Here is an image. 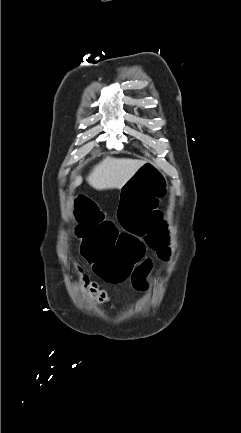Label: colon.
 Segmentation results:
<instances>
[{
    "instance_id": "5ec220e1",
    "label": "colon",
    "mask_w": 241,
    "mask_h": 433,
    "mask_svg": "<svg viewBox=\"0 0 241 433\" xmlns=\"http://www.w3.org/2000/svg\"><path fill=\"white\" fill-rule=\"evenodd\" d=\"M155 165L154 159L137 165L136 172L121 187L117 208L123 230H118L112 220H106V213L99 212V205L85 192L73 195L77 201L73 218L81 221L75 227L80 254L90 269L109 283H121L130 276L138 281V277L149 275L152 262L145 256V244L157 252L160 260L167 261L170 257L171 236L165 237L161 226H169L171 221L158 207V201L170 194L173 185L164 181L163 168H154ZM67 263L69 267H77L79 262L77 258H69ZM85 277L84 272L79 274L78 289L87 288ZM135 286L143 287L139 283Z\"/></svg>"
}]
</instances>
